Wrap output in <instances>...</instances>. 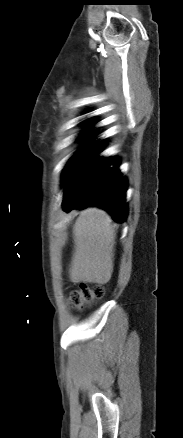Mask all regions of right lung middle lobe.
Instances as JSON below:
<instances>
[{"label": "right lung middle lobe", "instance_id": "right-lung-middle-lobe-1", "mask_svg": "<svg viewBox=\"0 0 183 438\" xmlns=\"http://www.w3.org/2000/svg\"><path fill=\"white\" fill-rule=\"evenodd\" d=\"M91 133H92V132H86L85 134H83L82 137H85V136H87V135H89V134H91ZM79 152H80V150L74 154V156L71 158V160L69 161V163L72 161V159H73V158H74ZM69 163H68V164H69ZM68 164H67V166H68ZM67 166H66V167H67ZM66 167H65V168H66Z\"/></svg>", "mask_w": 183, "mask_h": 438}]
</instances>
